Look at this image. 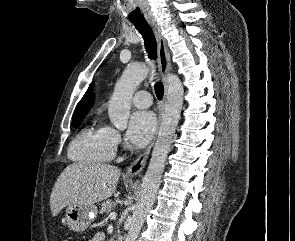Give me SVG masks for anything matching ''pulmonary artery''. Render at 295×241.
<instances>
[{
	"label": "pulmonary artery",
	"mask_w": 295,
	"mask_h": 241,
	"mask_svg": "<svg viewBox=\"0 0 295 241\" xmlns=\"http://www.w3.org/2000/svg\"><path fill=\"white\" fill-rule=\"evenodd\" d=\"M132 103L138 108H148L152 104V96L147 91H138L133 95Z\"/></svg>",
	"instance_id": "e3ab8cb5"
}]
</instances>
